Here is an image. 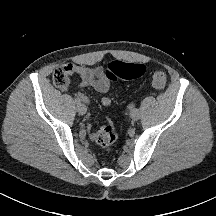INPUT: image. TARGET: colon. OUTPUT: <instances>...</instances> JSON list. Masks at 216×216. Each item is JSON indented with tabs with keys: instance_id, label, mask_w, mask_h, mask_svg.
<instances>
[{
	"instance_id": "obj_1",
	"label": "colon",
	"mask_w": 216,
	"mask_h": 216,
	"mask_svg": "<svg viewBox=\"0 0 216 216\" xmlns=\"http://www.w3.org/2000/svg\"><path fill=\"white\" fill-rule=\"evenodd\" d=\"M145 67L138 63H126L112 61L108 64L104 75L109 82H116L124 79H135L143 75ZM71 69L69 65H62L54 70L52 75L53 83L60 88L68 86ZM152 84L157 90H163L166 86V74L157 70L152 75ZM118 139V131L112 124L103 125L95 135V142L105 150H110Z\"/></svg>"
}]
</instances>
